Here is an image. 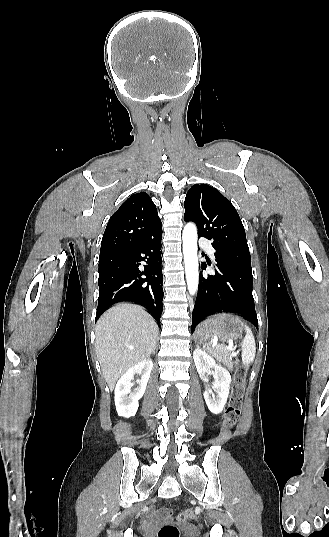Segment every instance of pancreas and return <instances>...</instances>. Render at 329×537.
<instances>
[{
  "label": "pancreas",
  "mask_w": 329,
  "mask_h": 537,
  "mask_svg": "<svg viewBox=\"0 0 329 537\" xmlns=\"http://www.w3.org/2000/svg\"><path fill=\"white\" fill-rule=\"evenodd\" d=\"M218 361L222 362L228 368H233L232 356L221 350L209 351Z\"/></svg>",
  "instance_id": "1"
}]
</instances>
